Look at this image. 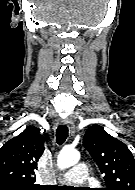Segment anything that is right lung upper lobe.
Masks as SVG:
<instances>
[{
	"mask_svg": "<svg viewBox=\"0 0 135 190\" xmlns=\"http://www.w3.org/2000/svg\"><path fill=\"white\" fill-rule=\"evenodd\" d=\"M47 137L39 129L27 127L21 134L10 139L0 149V187L40 188L35 185L37 161L44 152Z\"/></svg>",
	"mask_w": 135,
	"mask_h": 190,
	"instance_id": "1",
	"label": "right lung upper lobe"
}]
</instances>
